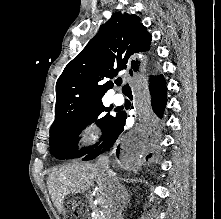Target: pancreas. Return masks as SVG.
Instances as JSON below:
<instances>
[{
    "mask_svg": "<svg viewBox=\"0 0 221 219\" xmlns=\"http://www.w3.org/2000/svg\"><path fill=\"white\" fill-rule=\"evenodd\" d=\"M95 219H103L100 215H96Z\"/></svg>",
    "mask_w": 221,
    "mask_h": 219,
    "instance_id": "1",
    "label": "pancreas"
}]
</instances>
